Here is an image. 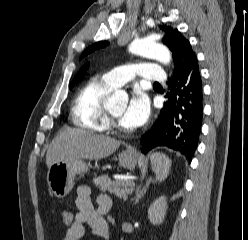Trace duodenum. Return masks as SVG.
<instances>
[{
  "mask_svg": "<svg viewBox=\"0 0 248 240\" xmlns=\"http://www.w3.org/2000/svg\"><path fill=\"white\" fill-rule=\"evenodd\" d=\"M95 233L99 234L103 240H109V228L106 222L101 223L99 226L95 228Z\"/></svg>",
  "mask_w": 248,
  "mask_h": 240,
  "instance_id": "duodenum-1",
  "label": "duodenum"
}]
</instances>
